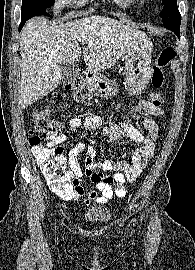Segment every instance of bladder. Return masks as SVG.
Masks as SVG:
<instances>
[{
	"label": "bladder",
	"instance_id": "obj_1",
	"mask_svg": "<svg viewBox=\"0 0 195 270\" xmlns=\"http://www.w3.org/2000/svg\"><path fill=\"white\" fill-rule=\"evenodd\" d=\"M113 211L108 207H93L88 209L84 216L83 222L89 226L104 225L111 221Z\"/></svg>",
	"mask_w": 195,
	"mask_h": 270
}]
</instances>
